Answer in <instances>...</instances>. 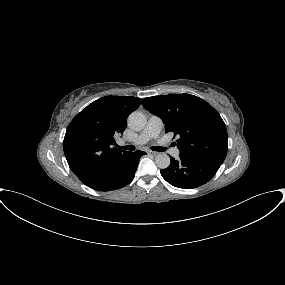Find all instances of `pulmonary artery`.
<instances>
[{
  "label": "pulmonary artery",
  "instance_id": "pulmonary-artery-1",
  "mask_svg": "<svg viewBox=\"0 0 285 285\" xmlns=\"http://www.w3.org/2000/svg\"><path fill=\"white\" fill-rule=\"evenodd\" d=\"M163 128L162 120L158 117H151L146 128L136 137L134 142L136 144H145L153 138H157ZM173 155L177 157L179 155L178 150H174Z\"/></svg>",
  "mask_w": 285,
  "mask_h": 285
}]
</instances>
